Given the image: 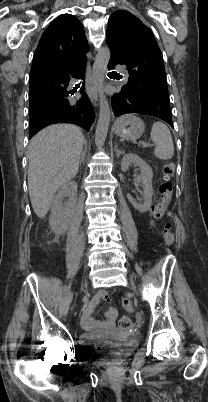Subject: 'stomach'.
I'll list each match as a JSON object with an SVG mask.
<instances>
[{
	"instance_id": "obj_1",
	"label": "stomach",
	"mask_w": 208,
	"mask_h": 402,
	"mask_svg": "<svg viewBox=\"0 0 208 402\" xmlns=\"http://www.w3.org/2000/svg\"><path fill=\"white\" fill-rule=\"evenodd\" d=\"M113 130L123 140H139L144 134L145 126L137 116L124 114L116 120Z\"/></svg>"
}]
</instances>
